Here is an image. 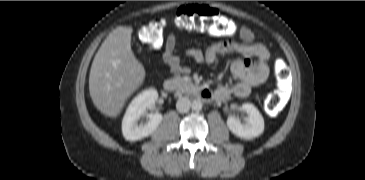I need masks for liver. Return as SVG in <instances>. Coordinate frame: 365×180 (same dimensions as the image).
<instances>
[{"instance_id": "obj_1", "label": "liver", "mask_w": 365, "mask_h": 180, "mask_svg": "<svg viewBox=\"0 0 365 180\" xmlns=\"http://www.w3.org/2000/svg\"><path fill=\"white\" fill-rule=\"evenodd\" d=\"M132 27L119 26L101 44L92 62L89 92L96 108L116 118L142 85L145 69L131 49Z\"/></svg>"}]
</instances>
